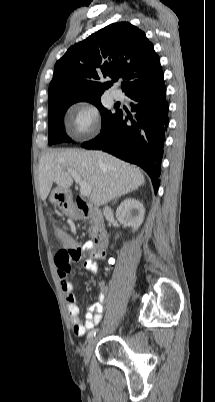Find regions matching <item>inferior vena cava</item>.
Segmentation results:
<instances>
[{"label": "inferior vena cava", "instance_id": "1", "mask_svg": "<svg viewBox=\"0 0 215 402\" xmlns=\"http://www.w3.org/2000/svg\"><path fill=\"white\" fill-rule=\"evenodd\" d=\"M110 208L108 207V206H106L105 208H104V212H106V211H108Z\"/></svg>", "mask_w": 215, "mask_h": 402}]
</instances>
